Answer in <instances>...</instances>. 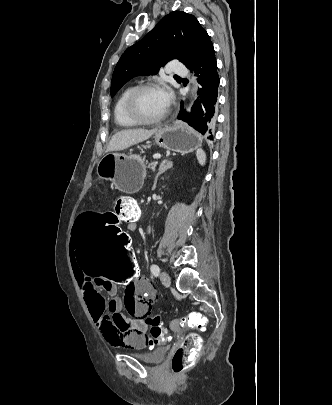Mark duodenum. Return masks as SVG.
<instances>
[{"mask_svg": "<svg viewBox=\"0 0 332 405\" xmlns=\"http://www.w3.org/2000/svg\"><path fill=\"white\" fill-rule=\"evenodd\" d=\"M141 215L139 212H134L131 216H130V221L133 223H136L139 221Z\"/></svg>", "mask_w": 332, "mask_h": 405, "instance_id": "410a0bca", "label": "duodenum"}]
</instances>
